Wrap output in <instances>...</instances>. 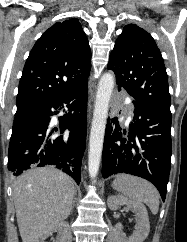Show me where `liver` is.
Returning a JSON list of instances; mask_svg holds the SVG:
<instances>
[{"instance_id":"6515ba94","label":"liver","mask_w":187,"mask_h":242,"mask_svg":"<svg viewBox=\"0 0 187 242\" xmlns=\"http://www.w3.org/2000/svg\"><path fill=\"white\" fill-rule=\"evenodd\" d=\"M75 187L53 166L20 175L13 184L16 217L22 242H38L70 214Z\"/></svg>"}]
</instances>
